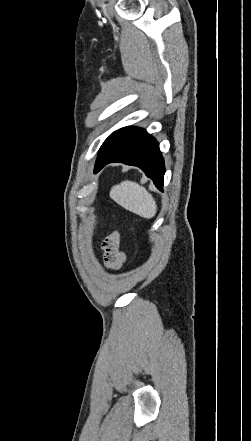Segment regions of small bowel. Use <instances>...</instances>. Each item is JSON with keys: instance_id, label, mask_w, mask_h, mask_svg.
<instances>
[{"instance_id": "small-bowel-1", "label": "small bowel", "mask_w": 251, "mask_h": 441, "mask_svg": "<svg viewBox=\"0 0 251 441\" xmlns=\"http://www.w3.org/2000/svg\"><path fill=\"white\" fill-rule=\"evenodd\" d=\"M120 237L117 233L110 235L103 243L104 258L109 268H120L125 260V253L119 248Z\"/></svg>"}]
</instances>
